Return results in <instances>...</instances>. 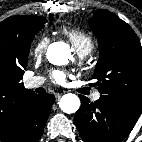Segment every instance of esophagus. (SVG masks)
<instances>
[{"mask_svg":"<svg viewBox=\"0 0 142 142\" xmlns=\"http://www.w3.org/2000/svg\"><path fill=\"white\" fill-rule=\"evenodd\" d=\"M61 96H62L61 93H57V94L55 95L56 100H59V99L61 98Z\"/></svg>","mask_w":142,"mask_h":142,"instance_id":"esophagus-1","label":"esophagus"}]
</instances>
